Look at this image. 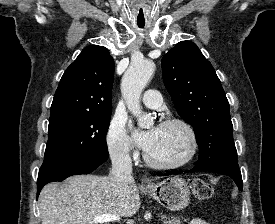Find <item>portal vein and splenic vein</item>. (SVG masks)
<instances>
[{"label": "portal vein and splenic vein", "instance_id": "portal-vein-and-splenic-vein-1", "mask_svg": "<svg viewBox=\"0 0 275 224\" xmlns=\"http://www.w3.org/2000/svg\"><path fill=\"white\" fill-rule=\"evenodd\" d=\"M121 218L112 214H105L102 216H97L93 219V222L96 224L108 223L112 221H120Z\"/></svg>", "mask_w": 275, "mask_h": 224}]
</instances>
